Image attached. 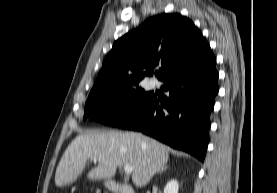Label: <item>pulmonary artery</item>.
<instances>
[{
	"label": "pulmonary artery",
	"mask_w": 277,
	"mask_h": 193,
	"mask_svg": "<svg viewBox=\"0 0 277 193\" xmlns=\"http://www.w3.org/2000/svg\"><path fill=\"white\" fill-rule=\"evenodd\" d=\"M146 88L148 90H152L155 88V83L154 82H148L147 85H146Z\"/></svg>",
	"instance_id": "1"
}]
</instances>
